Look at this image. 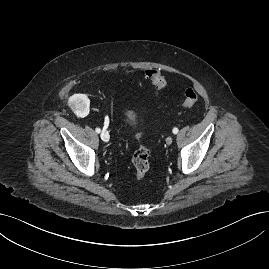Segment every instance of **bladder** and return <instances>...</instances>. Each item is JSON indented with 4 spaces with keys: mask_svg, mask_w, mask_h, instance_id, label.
Returning <instances> with one entry per match:
<instances>
[{
    "mask_svg": "<svg viewBox=\"0 0 269 269\" xmlns=\"http://www.w3.org/2000/svg\"><path fill=\"white\" fill-rule=\"evenodd\" d=\"M125 120L128 124L133 125L137 122L138 116L133 111H127V113L125 115Z\"/></svg>",
    "mask_w": 269,
    "mask_h": 269,
    "instance_id": "bladder-1",
    "label": "bladder"
}]
</instances>
